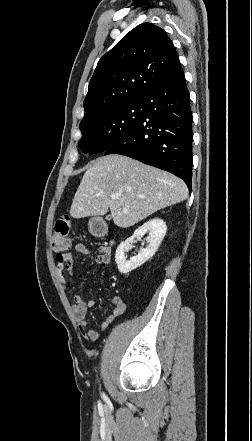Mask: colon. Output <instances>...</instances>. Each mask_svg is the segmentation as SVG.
Returning a JSON list of instances; mask_svg holds the SVG:
<instances>
[{"label": "colon", "mask_w": 252, "mask_h": 441, "mask_svg": "<svg viewBox=\"0 0 252 441\" xmlns=\"http://www.w3.org/2000/svg\"><path fill=\"white\" fill-rule=\"evenodd\" d=\"M69 219L61 218L57 221L53 234V251L57 254L58 260H64L70 248L69 234Z\"/></svg>", "instance_id": "1"}]
</instances>
